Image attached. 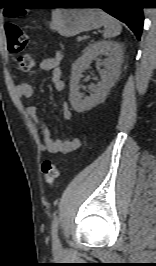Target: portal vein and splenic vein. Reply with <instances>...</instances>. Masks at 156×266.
<instances>
[{
  "mask_svg": "<svg viewBox=\"0 0 156 266\" xmlns=\"http://www.w3.org/2000/svg\"><path fill=\"white\" fill-rule=\"evenodd\" d=\"M78 41H82V37H78Z\"/></svg>",
  "mask_w": 156,
  "mask_h": 266,
  "instance_id": "obj_1",
  "label": "portal vein and splenic vein"
}]
</instances>
